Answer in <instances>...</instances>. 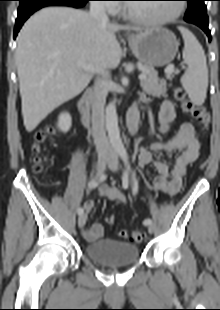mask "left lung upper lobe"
Instances as JSON below:
<instances>
[{
	"mask_svg": "<svg viewBox=\"0 0 220 310\" xmlns=\"http://www.w3.org/2000/svg\"><path fill=\"white\" fill-rule=\"evenodd\" d=\"M188 2V9L186 11L184 20L193 24L208 25V16L205 0H186Z\"/></svg>",
	"mask_w": 220,
	"mask_h": 310,
	"instance_id": "5c2ea615",
	"label": "left lung upper lobe"
}]
</instances>
